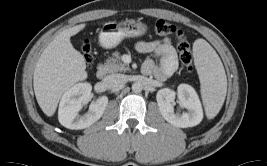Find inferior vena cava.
<instances>
[{
    "instance_id": "602c4592",
    "label": "inferior vena cava",
    "mask_w": 267,
    "mask_h": 166,
    "mask_svg": "<svg viewBox=\"0 0 267 166\" xmlns=\"http://www.w3.org/2000/svg\"><path fill=\"white\" fill-rule=\"evenodd\" d=\"M127 82V78L123 74H111L107 75L103 79V83L108 89L118 88Z\"/></svg>"
}]
</instances>
